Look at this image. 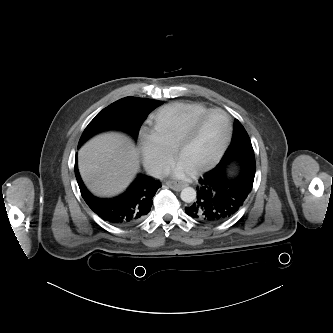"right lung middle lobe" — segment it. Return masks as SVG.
<instances>
[{
    "label": "right lung middle lobe",
    "mask_w": 333,
    "mask_h": 333,
    "mask_svg": "<svg viewBox=\"0 0 333 333\" xmlns=\"http://www.w3.org/2000/svg\"><path fill=\"white\" fill-rule=\"evenodd\" d=\"M161 104H163L162 101L137 97H126L112 103L89 123L80 138L78 147L94 134L108 129L123 130L136 140L143 121Z\"/></svg>",
    "instance_id": "dd1d6c3e"
}]
</instances>
